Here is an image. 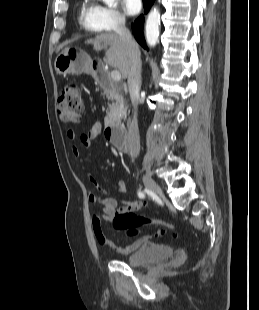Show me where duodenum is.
<instances>
[{
	"label": "duodenum",
	"mask_w": 259,
	"mask_h": 310,
	"mask_svg": "<svg viewBox=\"0 0 259 310\" xmlns=\"http://www.w3.org/2000/svg\"><path fill=\"white\" fill-rule=\"evenodd\" d=\"M91 71L104 89L108 91L117 89V85H115L109 78L108 74L103 71V67L99 64V62H93ZM105 136L115 147L122 151H127L128 144L126 134L119 123L108 122L105 126Z\"/></svg>",
	"instance_id": "duodenum-1"
}]
</instances>
